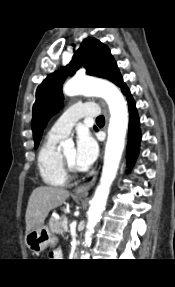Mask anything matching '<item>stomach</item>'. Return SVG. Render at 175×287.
I'll list each match as a JSON object with an SVG mask.
<instances>
[{
	"label": "stomach",
	"instance_id": "obj_1",
	"mask_svg": "<svg viewBox=\"0 0 175 287\" xmlns=\"http://www.w3.org/2000/svg\"><path fill=\"white\" fill-rule=\"evenodd\" d=\"M57 238L44 224H40L32 228L25 234V244L33 253L42 252L47 246H55Z\"/></svg>",
	"mask_w": 175,
	"mask_h": 287
}]
</instances>
